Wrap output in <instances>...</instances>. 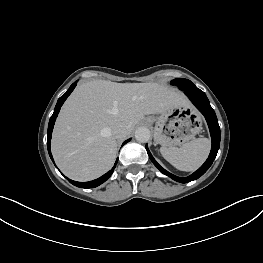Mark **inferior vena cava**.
Instances as JSON below:
<instances>
[{"mask_svg":"<svg viewBox=\"0 0 263 263\" xmlns=\"http://www.w3.org/2000/svg\"><path fill=\"white\" fill-rule=\"evenodd\" d=\"M112 134L116 139H123L127 136L126 126L122 123L116 124L112 128Z\"/></svg>","mask_w":263,"mask_h":263,"instance_id":"1","label":"inferior vena cava"}]
</instances>
